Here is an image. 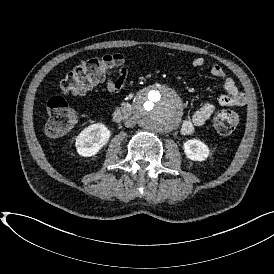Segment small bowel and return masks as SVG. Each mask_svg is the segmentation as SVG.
<instances>
[{"label": "small bowel", "instance_id": "1", "mask_svg": "<svg viewBox=\"0 0 274 274\" xmlns=\"http://www.w3.org/2000/svg\"><path fill=\"white\" fill-rule=\"evenodd\" d=\"M206 61L202 57H196L192 60L194 68H201L205 65ZM212 76L221 79L225 94L221 95L218 99V104L223 107L243 106L246 104L247 97L243 91L239 89L235 80L228 76L225 70L218 64H214L210 68ZM128 79V70L124 67L120 68L116 77H111L105 73L92 79L91 81L81 84L74 88L73 93L77 97L87 95L90 92L98 89L105 84L106 89L111 93L119 92L126 84ZM216 109L215 104L205 103L197 109L191 117L186 118L181 126V132L184 135H190L197 127L204 125L207 120L212 116Z\"/></svg>", "mask_w": 274, "mask_h": 274}]
</instances>
